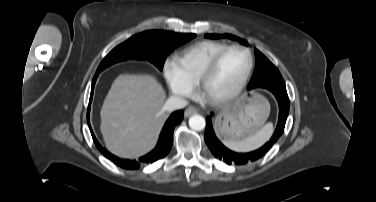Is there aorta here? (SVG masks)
I'll use <instances>...</instances> for the list:
<instances>
[{"label":"aorta","instance_id":"obj_1","mask_svg":"<svg viewBox=\"0 0 376 202\" xmlns=\"http://www.w3.org/2000/svg\"><path fill=\"white\" fill-rule=\"evenodd\" d=\"M189 126L195 131H201L206 126L205 118L199 114H195L189 118Z\"/></svg>","mask_w":376,"mask_h":202}]
</instances>
